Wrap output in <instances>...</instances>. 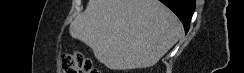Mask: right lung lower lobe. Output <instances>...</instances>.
I'll use <instances>...</instances> for the list:
<instances>
[{"label": "right lung lower lobe", "mask_w": 244, "mask_h": 73, "mask_svg": "<svg viewBox=\"0 0 244 73\" xmlns=\"http://www.w3.org/2000/svg\"><path fill=\"white\" fill-rule=\"evenodd\" d=\"M168 8H170L182 21L185 32L190 27V21L195 11V0H160Z\"/></svg>", "instance_id": "obj_1"}]
</instances>
